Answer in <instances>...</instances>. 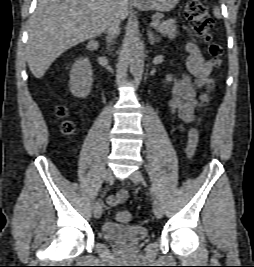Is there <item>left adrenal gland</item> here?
Listing matches in <instances>:
<instances>
[{"label": "left adrenal gland", "mask_w": 254, "mask_h": 267, "mask_svg": "<svg viewBox=\"0 0 254 267\" xmlns=\"http://www.w3.org/2000/svg\"><path fill=\"white\" fill-rule=\"evenodd\" d=\"M147 35H148L149 43L151 45H154L156 42L160 41V38L154 35L153 32L149 28L147 29Z\"/></svg>", "instance_id": "1"}]
</instances>
